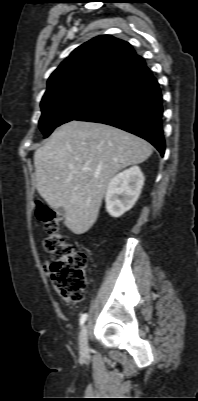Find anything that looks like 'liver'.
I'll return each mask as SVG.
<instances>
[{
	"mask_svg": "<svg viewBox=\"0 0 198 401\" xmlns=\"http://www.w3.org/2000/svg\"><path fill=\"white\" fill-rule=\"evenodd\" d=\"M153 147L121 129L72 120L58 127L34 153L36 188L75 234L96 222L107 186L123 168L144 162Z\"/></svg>",
	"mask_w": 198,
	"mask_h": 401,
	"instance_id": "obj_1",
	"label": "liver"
}]
</instances>
